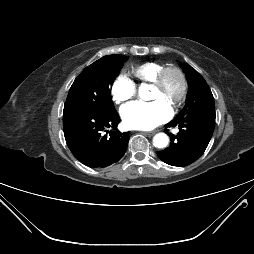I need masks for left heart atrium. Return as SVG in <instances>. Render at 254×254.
<instances>
[{"label":"left heart atrium","mask_w":254,"mask_h":254,"mask_svg":"<svg viewBox=\"0 0 254 254\" xmlns=\"http://www.w3.org/2000/svg\"><path fill=\"white\" fill-rule=\"evenodd\" d=\"M120 113L128 128L150 130L167 121L171 116V109L157 100H138L123 106Z\"/></svg>","instance_id":"1"}]
</instances>
